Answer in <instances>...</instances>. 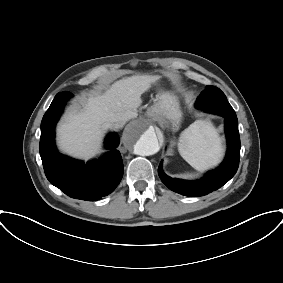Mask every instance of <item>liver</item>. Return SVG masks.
I'll return each instance as SVG.
<instances>
[{
  "label": "liver",
  "mask_w": 283,
  "mask_h": 283,
  "mask_svg": "<svg viewBox=\"0 0 283 283\" xmlns=\"http://www.w3.org/2000/svg\"><path fill=\"white\" fill-rule=\"evenodd\" d=\"M157 80V76L134 75L114 82L104 94L88 98L82 109L70 111L58 126L60 149L85 160L95 156L109 124L136 118L141 95Z\"/></svg>",
  "instance_id": "6515ba94"
}]
</instances>
